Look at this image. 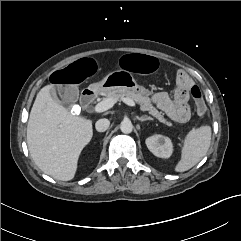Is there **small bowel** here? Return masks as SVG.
<instances>
[{
    "label": "small bowel",
    "instance_id": "c3829d8e",
    "mask_svg": "<svg viewBox=\"0 0 241 241\" xmlns=\"http://www.w3.org/2000/svg\"><path fill=\"white\" fill-rule=\"evenodd\" d=\"M194 88L198 87L192 78L185 71H179L176 76V88L174 91L171 94L157 92L152 95L151 100L175 122L186 123L191 117L188 102Z\"/></svg>",
    "mask_w": 241,
    "mask_h": 241
}]
</instances>
